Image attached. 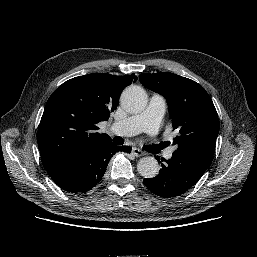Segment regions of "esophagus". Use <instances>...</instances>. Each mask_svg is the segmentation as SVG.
I'll return each instance as SVG.
<instances>
[{"label": "esophagus", "instance_id": "34e87169", "mask_svg": "<svg viewBox=\"0 0 257 257\" xmlns=\"http://www.w3.org/2000/svg\"><path fill=\"white\" fill-rule=\"evenodd\" d=\"M132 154L135 155L136 157H141L144 155V152L138 148L133 147Z\"/></svg>", "mask_w": 257, "mask_h": 257}]
</instances>
